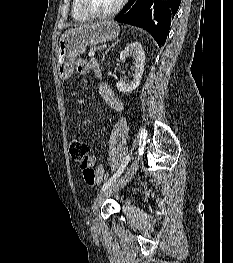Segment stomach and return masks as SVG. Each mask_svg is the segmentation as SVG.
<instances>
[{"label": "stomach", "mask_w": 233, "mask_h": 263, "mask_svg": "<svg viewBox=\"0 0 233 263\" xmlns=\"http://www.w3.org/2000/svg\"><path fill=\"white\" fill-rule=\"evenodd\" d=\"M120 33L119 25L113 20H100L79 28L67 30L60 38L57 69L61 79H68L74 62L82 55L88 45L94 46L114 40Z\"/></svg>", "instance_id": "0dacf381"}]
</instances>
